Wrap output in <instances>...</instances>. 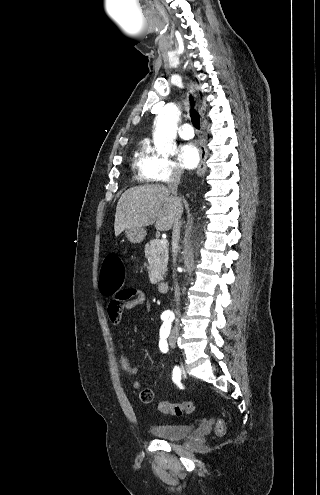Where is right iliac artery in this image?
Listing matches in <instances>:
<instances>
[{
    "mask_svg": "<svg viewBox=\"0 0 320 495\" xmlns=\"http://www.w3.org/2000/svg\"><path fill=\"white\" fill-rule=\"evenodd\" d=\"M163 320H167L168 319V315H163L161 317ZM173 379L174 381H179L180 379V370L178 367H175L174 370H173Z\"/></svg>",
    "mask_w": 320,
    "mask_h": 495,
    "instance_id": "1",
    "label": "right iliac artery"
}]
</instances>
